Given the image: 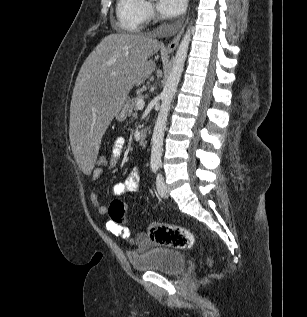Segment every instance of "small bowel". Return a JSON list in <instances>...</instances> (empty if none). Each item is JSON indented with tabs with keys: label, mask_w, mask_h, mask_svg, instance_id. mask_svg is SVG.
Instances as JSON below:
<instances>
[{
	"label": "small bowel",
	"mask_w": 307,
	"mask_h": 317,
	"mask_svg": "<svg viewBox=\"0 0 307 317\" xmlns=\"http://www.w3.org/2000/svg\"><path fill=\"white\" fill-rule=\"evenodd\" d=\"M126 147V142L123 137H118L115 139L111 151V156L108 161L107 169H113L117 166L118 162L120 161L124 150ZM103 168H95L91 171V181L93 183H96L101 176L103 175ZM140 186V172L137 168L132 169V171L129 173L127 178L120 183H117L114 185L112 189V193L115 196H121L126 193H134L137 192ZM90 200L92 204L94 205L96 211L100 215H104L107 213V207L100 203L99 197L97 192L93 189L90 194ZM106 228L108 231H110L112 234L120 236L124 240L130 239V233L127 228H124L113 221H108L106 223ZM147 245L146 241L144 239L140 240V247L144 248Z\"/></svg>",
	"instance_id": "1"
}]
</instances>
